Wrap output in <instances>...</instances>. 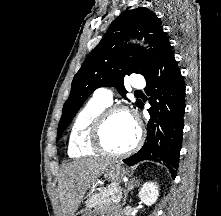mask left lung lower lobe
<instances>
[{
    "label": "left lung lower lobe",
    "instance_id": "left-lung-lower-lobe-1",
    "mask_svg": "<svg viewBox=\"0 0 221 216\" xmlns=\"http://www.w3.org/2000/svg\"><path fill=\"white\" fill-rule=\"evenodd\" d=\"M144 77L145 92L151 96L148 136L143 147L123 161L128 165L142 160L163 162L175 177L174 168H178L182 147L185 83L169 41L162 46Z\"/></svg>",
    "mask_w": 221,
    "mask_h": 216
}]
</instances>
